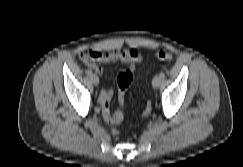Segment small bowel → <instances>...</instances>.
Returning <instances> with one entry per match:
<instances>
[{
  "label": "small bowel",
  "instance_id": "1",
  "mask_svg": "<svg viewBox=\"0 0 243 167\" xmlns=\"http://www.w3.org/2000/svg\"><path fill=\"white\" fill-rule=\"evenodd\" d=\"M82 63L93 70L96 74L102 73L99 63H114L120 61L125 69L134 71L137 64L142 61V53L136 48H124L115 50H91L80 55ZM113 97L111 89H101L99 93L101 114L104 121L108 124H115L121 120V112L112 113L110 110V102ZM120 102V97H119ZM121 103V102H120Z\"/></svg>",
  "mask_w": 243,
  "mask_h": 167
}]
</instances>
